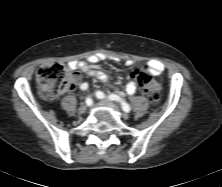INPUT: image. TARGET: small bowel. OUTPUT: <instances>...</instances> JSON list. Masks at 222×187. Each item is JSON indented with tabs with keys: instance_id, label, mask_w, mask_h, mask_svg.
<instances>
[{
	"instance_id": "1",
	"label": "small bowel",
	"mask_w": 222,
	"mask_h": 187,
	"mask_svg": "<svg viewBox=\"0 0 222 187\" xmlns=\"http://www.w3.org/2000/svg\"><path fill=\"white\" fill-rule=\"evenodd\" d=\"M103 59H104L103 55H92L87 59L86 62L73 61L69 65L74 70H79L84 74L94 76L102 83H106L108 80V76L103 71L99 70L96 66V64ZM127 65L132 66L133 62L128 61ZM143 69L146 72L151 73L153 75H159L163 72L164 66L160 61L151 60L143 66ZM76 83L81 91H86L88 89V84L85 82H81L79 78H76ZM136 90H137V81L136 77L134 76L133 79L126 86V94L133 95L135 94Z\"/></svg>"
}]
</instances>
